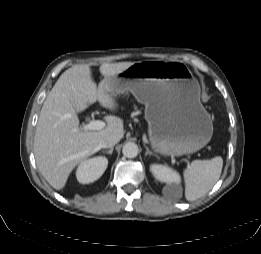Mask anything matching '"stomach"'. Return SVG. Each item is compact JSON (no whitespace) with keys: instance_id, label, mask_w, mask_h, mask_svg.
<instances>
[{"instance_id":"obj_1","label":"stomach","mask_w":261,"mask_h":254,"mask_svg":"<svg viewBox=\"0 0 261 254\" xmlns=\"http://www.w3.org/2000/svg\"><path fill=\"white\" fill-rule=\"evenodd\" d=\"M105 89L113 97L131 92L145 105L150 144L161 155L194 153L212 137L213 123L200 102V85L183 62L134 63Z\"/></svg>"}]
</instances>
